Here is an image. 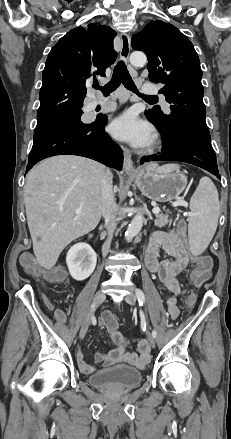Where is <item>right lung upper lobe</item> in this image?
Listing matches in <instances>:
<instances>
[{
  "label": "right lung upper lobe",
  "instance_id": "cb5924a9",
  "mask_svg": "<svg viewBox=\"0 0 231 439\" xmlns=\"http://www.w3.org/2000/svg\"><path fill=\"white\" fill-rule=\"evenodd\" d=\"M115 35L110 27L91 23L70 30L54 45L43 70L37 119L81 109L86 82L105 77L116 60Z\"/></svg>",
  "mask_w": 231,
  "mask_h": 439
}]
</instances>
